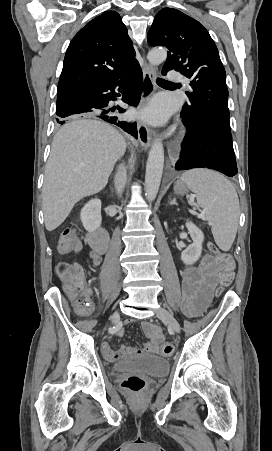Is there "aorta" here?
<instances>
[{
    "mask_svg": "<svg viewBox=\"0 0 272 451\" xmlns=\"http://www.w3.org/2000/svg\"><path fill=\"white\" fill-rule=\"evenodd\" d=\"M147 58L151 66H159V64H162V62L166 60L167 52L166 50H163V48H155V50H150V52H148ZM163 166V144L162 142H159V140H155L150 148L146 166L145 192L148 202H153L158 194L163 174Z\"/></svg>",
    "mask_w": 272,
    "mask_h": 451,
    "instance_id": "762f6f07",
    "label": "aorta"
}]
</instances>
